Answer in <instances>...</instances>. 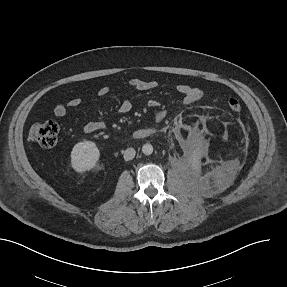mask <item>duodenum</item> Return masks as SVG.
I'll return each mask as SVG.
<instances>
[{
	"label": "duodenum",
	"instance_id": "410a0bca",
	"mask_svg": "<svg viewBox=\"0 0 287 287\" xmlns=\"http://www.w3.org/2000/svg\"><path fill=\"white\" fill-rule=\"evenodd\" d=\"M152 132L149 129H140L134 132L133 138L134 139H144L149 137Z\"/></svg>",
	"mask_w": 287,
	"mask_h": 287
}]
</instances>
